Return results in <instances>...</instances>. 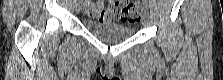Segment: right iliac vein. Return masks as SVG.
Instances as JSON below:
<instances>
[{"instance_id": "obj_1", "label": "right iliac vein", "mask_w": 223, "mask_h": 80, "mask_svg": "<svg viewBox=\"0 0 223 80\" xmlns=\"http://www.w3.org/2000/svg\"><path fill=\"white\" fill-rule=\"evenodd\" d=\"M81 8H82V4L80 2H77V4H76V11L80 12Z\"/></svg>"}]
</instances>
